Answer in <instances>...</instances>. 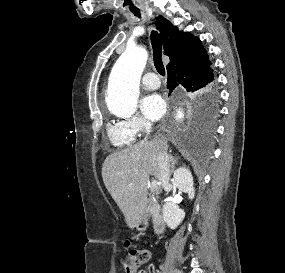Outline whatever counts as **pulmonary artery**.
<instances>
[{
  "instance_id": "obj_1",
  "label": "pulmonary artery",
  "mask_w": 285,
  "mask_h": 273,
  "mask_svg": "<svg viewBox=\"0 0 285 273\" xmlns=\"http://www.w3.org/2000/svg\"><path fill=\"white\" fill-rule=\"evenodd\" d=\"M142 85L148 90H155L160 87L161 82L154 72H147L142 78Z\"/></svg>"
}]
</instances>
